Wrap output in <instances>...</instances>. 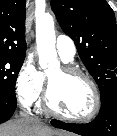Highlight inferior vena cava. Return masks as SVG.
I'll use <instances>...</instances> for the list:
<instances>
[{
    "instance_id": "obj_1",
    "label": "inferior vena cava",
    "mask_w": 117,
    "mask_h": 136,
    "mask_svg": "<svg viewBox=\"0 0 117 136\" xmlns=\"http://www.w3.org/2000/svg\"><path fill=\"white\" fill-rule=\"evenodd\" d=\"M21 115H22V117H25L29 121V123H31L32 125H34V126H40L39 120L29 119L28 115L25 114V113H21Z\"/></svg>"
}]
</instances>
